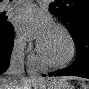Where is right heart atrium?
I'll return each instance as SVG.
<instances>
[{
    "label": "right heart atrium",
    "instance_id": "right-heart-atrium-1",
    "mask_svg": "<svg viewBox=\"0 0 89 89\" xmlns=\"http://www.w3.org/2000/svg\"><path fill=\"white\" fill-rule=\"evenodd\" d=\"M25 48H26L25 39L21 35L16 34L14 39V50L18 53H21L25 50Z\"/></svg>",
    "mask_w": 89,
    "mask_h": 89
}]
</instances>
